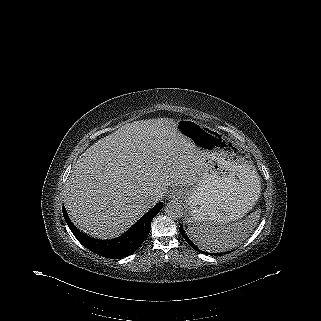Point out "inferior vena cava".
Instances as JSON below:
<instances>
[{
  "mask_svg": "<svg viewBox=\"0 0 321 321\" xmlns=\"http://www.w3.org/2000/svg\"><path fill=\"white\" fill-rule=\"evenodd\" d=\"M146 201L150 205H155L158 202V199L156 196H152V197L147 198Z\"/></svg>",
  "mask_w": 321,
  "mask_h": 321,
  "instance_id": "obj_1",
  "label": "inferior vena cava"
}]
</instances>
